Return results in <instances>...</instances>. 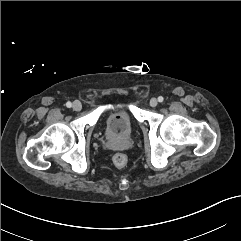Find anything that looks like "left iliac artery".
Instances as JSON below:
<instances>
[{
	"mask_svg": "<svg viewBox=\"0 0 241 241\" xmlns=\"http://www.w3.org/2000/svg\"><path fill=\"white\" fill-rule=\"evenodd\" d=\"M163 100H164V98H163L162 96H159V97H158V101H159V102H163Z\"/></svg>",
	"mask_w": 241,
	"mask_h": 241,
	"instance_id": "1",
	"label": "left iliac artery"
}]
</instances>
